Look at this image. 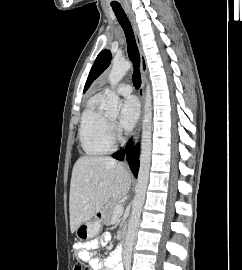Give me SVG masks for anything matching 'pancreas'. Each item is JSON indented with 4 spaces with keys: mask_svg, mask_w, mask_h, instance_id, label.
<instances>
[{
    "mask_svg": "<svg viewBox=\"0 0 242 270\" xmlns=\"http://www.w3.org/2000/svg\"><path fill=\"white\" fill-rule=\"evenodd\" d=\"M118 201H110L103 208L104 222L109 223L114 216V208L118 204Z\"/></svg>",
    "mask_w": 242,
    "mask_h": 270,
    "instance_id": "pancreas-1",
    "label": "pancreas"
}]
</instances>
